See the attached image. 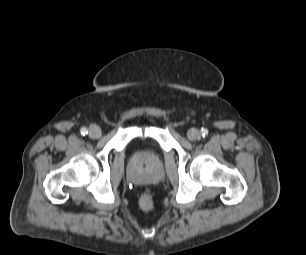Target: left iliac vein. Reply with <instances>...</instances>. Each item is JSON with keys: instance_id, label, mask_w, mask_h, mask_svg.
I'll use <instances>...</instances> for the list:
<instances>
[{"instance_id": "1", "label": "left iliac vein", "mask_w": 306, "mask_h": 255, "mask_svg": "<svg viewBox=\"0 0 306 255\" xmlns=\"http://www.w3.org/2000/svg\"><path fill=\"white\" fill-rule=\"evenodd\" d=\"M187 137L191 141H196L200 138V132L197 129H190L187 132Z\"/></svg>"}]
</instances>
